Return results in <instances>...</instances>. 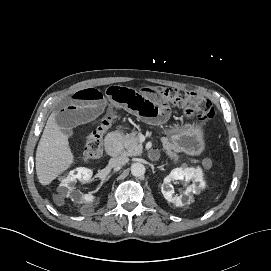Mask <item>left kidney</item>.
Wrapping results in <instances>:
<instances>
[{"label":"left kidney","mask_w":271,"mask_h":271,"mask_svg":"<svg viewBox=\"0 0 271 271\" xmlns=\"http://www.w3.org/2000/svg\"><path fill=\"white\" fill-rule=\"evenodd\" d=\"M177 180H185L186 182L192 181L193 184L188 185L183 195H174L172 182ZM195 182H199L202 186L204 185L203 174L200 169L195 168H175L171 173L166 176L161 185V192L164 198L177 207H181L184 203H188L192 198V192L196 190Z\"/></svg>","instance_id":"left-kidney-1"}]
</instances>
